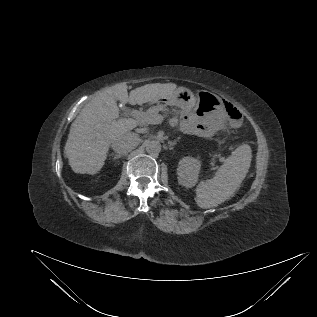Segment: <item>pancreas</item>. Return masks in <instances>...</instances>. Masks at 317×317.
Wrapping results in <instances>:
<instances>
[{
  "instance_id": "pancreas-1",
  "label": "pancreas",
  "mask_w": 317,
  "mask_h": 317,
  "mask_svg": "<svg viewBox=\"0 0 317 317\" xmlns=\"http://www.w3.org/2000/svg\"><path fill=\"white\" fill-rule=\"evenodd\" d=\"M159 111L167 112L168 109L164 105H156V106L150 107L144 113L146 114L147 117H154L158 115ZM143 122L149 124V121H143Z\"/></svg>"
}]
</instances>
